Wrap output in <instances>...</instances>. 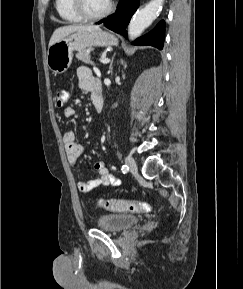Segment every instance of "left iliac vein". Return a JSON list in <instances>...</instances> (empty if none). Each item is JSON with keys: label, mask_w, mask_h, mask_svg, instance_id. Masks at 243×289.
Wrapping results in <instances>:
<instances>
[{"label": "left iliac vein", "mask_w": 243, "mask_h": 289, "mask_svg": "<svg viewBox=\"0 0 243 289\" xmlns=\"http://www.w3.org/2000/svg\"><path fill=\"white\" fill-rule=\"evenodd\" d=\"M125 162H126V165L129 167V170L131 173L135 174L137 173V165H136V162L135 160L128 156L125 158Z\"/></svg>", "instance_id": "left-iliac-vein-1"}]
</instances>
